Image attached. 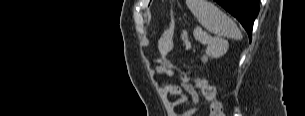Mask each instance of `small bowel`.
<instances>
[{"instance_id": "obj_1", "label": "small bowel", "mask_w": 305, "mask_h": 116, "mask_svg": "<svg viewBox=\"0 0 305 116\" xmlns=\"http://www.w3.org/2000/svg\"><path fill=\"white\" fill-rule=\"evenodd\" d=\"M173 47V41L171 39H164L160 43V51L162 55L168 54ZM157 72L159 73H166L169 75L173 74V65L167 61L166 59L160 60V64L157 67ZM183 89L187 92V94H184L182 92V88L177 85H166L165 90L174 96H178V98L173 102V106H179V105H187L190 99L194 103L199 102V96L197 91L194 89V87L190 84H183ZM196 109H187L182 116H193L195 114Z\"/></svg>"}]
</instances>
